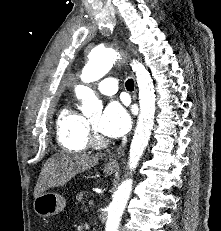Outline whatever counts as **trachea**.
<instances>
[{
    "label": "trachea",
    "instance_id": "trachea-1",
    "mask_svg": "<svg viewBox=\"0 0 221 231\" xmlns=\"http://www.w3.org/2000/svg\"><path fill=\"white\" fill-rule=\"evenodd\" d=\"M126 89L132 91L134 89V81L133 79H128L125 83Z\"/></svg>",
    "mask_w": 221,
    "mask_h": 231
}]
</instances>
